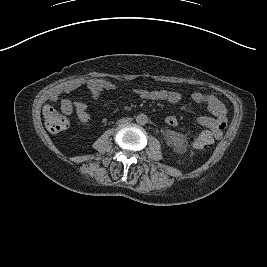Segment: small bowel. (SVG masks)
Masks as SVG:
<instances>
[{"mask_svg": "<svg viewBox=\"0 0 267 267\" xmlns=\"http://www.w3.org/2000/svg\"><path fill=\"white\" fill-rule=\"evenodd\" d=\"M80 86H86L91 97L93 99H97L100 97L103 90L114 88L115 84L99 78L73 80L65 85L62 92L69 93ZM135 93L144 100H163L174 104L179 103L182 100V94L175 90L156 89L148 91L146 89L137 88L135 89ZM190 99L198 105L206 106L208 111L211 113V116H199L195 118V122L197 124L208 129L207 131H203L198 134L207 137L210 144L219 140L227 125L226 108L223 103L212 94L198 91L191 93ZM61 110L65 114H70L73 110H75L78 119L83 123L89 122L91 118L88 106L81 98L75 99L73 103L69 99L61 100ZM165 123L171 127H176L178 125V119L173 115H169L165 118Z\"/></svg>", "mask_w": 267, "mask_h": 267, "instance_id": "small-bowel-1", "label": "small bowel"}]
</instances>
